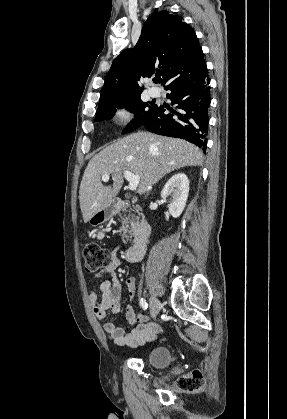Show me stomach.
I'll list each match as a JSON object with an SVG mask.
<instances>
[{
	"label": "stomach",
	"mask_w": 287,
	"mask_h": 419,
	"mask_svg": "<svg viewBox=\"0 0 287 419\" xmlns=\"http://www.w3.org/2000/svg\"><path fill=\"white\" fill-rule=\"evenodd\" d=\"M115 214V207L110 203L102 210L96 212L90 219L89 223L92 226L101 225L113 218Z\"/></svg>",
	"instance_id": "1"
}]
</instances>
